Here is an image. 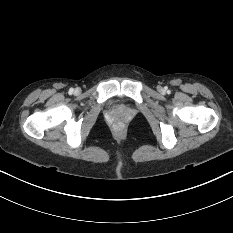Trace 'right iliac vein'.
<instances>
[{"label": "right iliac vein", "mask_w": 233, "mask_h": 233, "mask_svg": "<svg viewBox=\"0 0 233 233\" xmlns=\"http://www.w3.org/2000/svg\"><path fill=\"white\" fill-rule=\"evenodd\" d=\"M75 93H76V94L79 93V89H76V90H75Z\"/></svg>", "instance_id": "1"}]
</instances>
